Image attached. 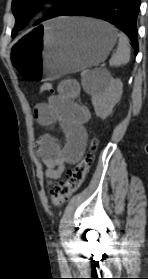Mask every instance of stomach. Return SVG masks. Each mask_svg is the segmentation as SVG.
<instances>
[{"mask_svg": "<svg viewBox=\"0 0 148 279\" xmlns=\"http://www.w3.org/2000/svg\"><path fill=\"white\" fill-rule=\"evenodd\" d=\"M116 40V29L100 20L61 17L39 24L11 46L15 78L54 82L103 62Z\"/></svg>", "mask_w": 148, "mask_h": 279, "instance_id": "obj_1", "label": "stomach"}]
</instances>
